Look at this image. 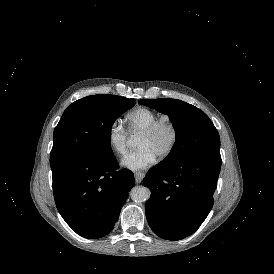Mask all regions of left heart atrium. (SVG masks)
<instances>
[{"instance_id": "1", "label": "left heart atrium", "mask_w": 274, "mask_h": 274, "mask_svg": "<svg viewBox=\"0 0 274 274\" xmlns=\"http://www.w3.org/2000/svg\"><path fill=\"white\" fill-rule=\"evenodd\" d=\"M156 159V156L149 149L141 147L124 154L120 163L126 169L140 171L150 167Z\"/></svg>"}]
</instances>
